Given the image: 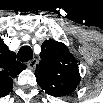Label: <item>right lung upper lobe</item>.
Instances as JSON below:
<instances>
[{"label":"right lung upper lobe","instance_id":"1","mask_svg":"<svg viewBox=\"0 0 103 103\" xmlns=\"http://www.w3.org/2000/svg\"><path fill=\"white\" fill-rule=\"evenodd\" d=\"M26 65L16 61L14 52H11L0 39V89L4 95L12 89V78L25 69Z\"/></svg>","mask_w":103,"mask_h":103}]
</instances>
